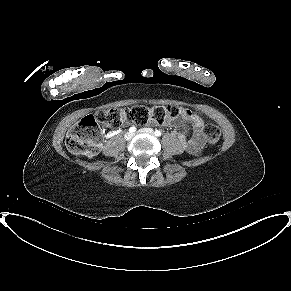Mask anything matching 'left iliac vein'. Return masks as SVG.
I'll use <instances>...</instances> for the list:
<instances>
[{"mask_svg":"<svg viewBox=\"0 0 291 291\" xmlns=\"http://www.w3.org/2000/svg\"><path fill=\"white\" fill-rule=\"evenodd\" d=\"M138 133H147V134H150V135H153L154 134V132H153V130L151 128H143V129H140L138 131Z\"/></svg>","mask_w":291,"mask_h":291,"instance_id":"obj_1","label":"left iliac vein"}]
</instances>
